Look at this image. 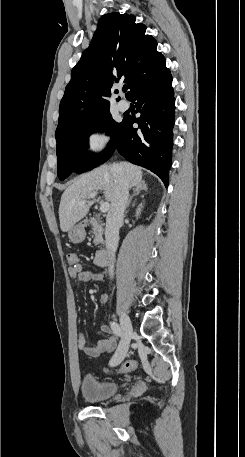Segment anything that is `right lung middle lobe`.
<instances>
[{
  "mask_svg": "<svg viewBox=\"0 0 245 457\" xmlns=\"http://www.w3.org/2000/svg\"><path fill=\"white\" fill-rule=\"evenodd\" d=\"M121 123L115 122L109 107L66 123L56 129L57 174L64 180L72 172L82 173L105 162L113 153L119 138ZM107 130L111 136L108 147L99 156L87 154L89 135Z\"/></svg>",
  "mask_w": 245,
  "mask_h": 457,
  "instance_id": "1",
  "label": "right lung middle lobe"
}]
</instances>
